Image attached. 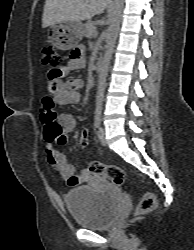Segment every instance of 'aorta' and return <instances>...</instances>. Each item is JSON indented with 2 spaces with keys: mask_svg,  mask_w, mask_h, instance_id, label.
<instances>
[{
  "mask_svg": "<svg viewBox=\"0 0 194 250\" xmlns=\"http://www.w3.org/2000/svg\"><path fill=\"white\" fill-rule=\"evenodd\" d=\"M123 0H114L112 6V12L110 16V26L108 28L105 53L101 63V68L99 72L96 102H95V112L100 113L102 109V103L104 99V91L106 87V80L109 71V65L114 51L116 38L118 36L122 10H123Z\"/></svg>",
  "mask_w": 194,
  "mask_h": 250,
  "instance_id": "1",
  "label": "aorta"
}]
</instances>
